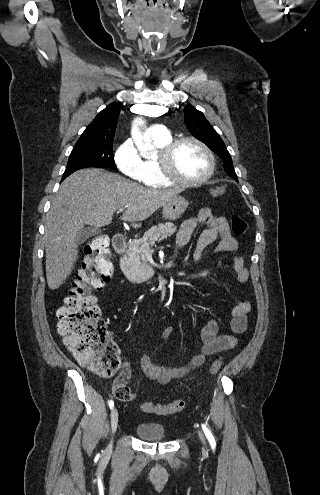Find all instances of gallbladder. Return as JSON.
Wrapping results in <instances>:
<instances>
[{
  "label": "gallbladder",
  "instance_id": "gallbladder-1",
  "mask_svg": "<svg viewBox=\"0 0 320 495\" xmlns=\"http://www.w3.org/2000/svg\"><path fill=\"white\" fill-rule=\"evenodd\" d=\"M99 229L96 227H85L82 228L78 231L77 236H76V243L77 244H82L85 242L88 238L95 236L99 233Z\"/></svg>",
  "mask_w": 320,
  "mask_h": 495
}]
</instances>
